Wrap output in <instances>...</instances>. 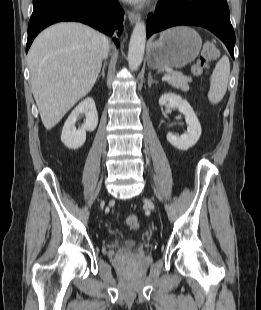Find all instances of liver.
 I'll return each mask as SVG.
<instances>
[{"label":"liver","instance_id":"liver-1","mask_svg":"<svg viewBox=\"0 0 261 310\" xmlns=\"http://www.w3.org/2000/svg\"><path fill=\"white\" fill-rule=\"evenodd\" d=\"M105 36L76 22L42 31L28 52L31 89L47 130L93 88L99 75Z\"/></svg>","mask_w":261,"mask_h":310}]
</instances>
